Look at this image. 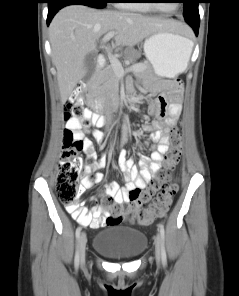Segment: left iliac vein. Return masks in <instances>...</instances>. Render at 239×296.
Listing matches in <instances>:
<instances>
[{"mask_svg": "<svg viewBox=\"0 0 239 296\" xmlns=\"http://www.w3.org/2000/svg\"><path fill=\"white\" fill-rule=\"evenodd\" d=\"M155 257H156L157 263L159 264L162 258L161 242H160L159 235H157L155 238Z\"/></svg>", "mask_w": 239, "mask_h": 296, "instance_id": "left-iliac-vein-1", "label": "left iliac vein"}]
</instances>
